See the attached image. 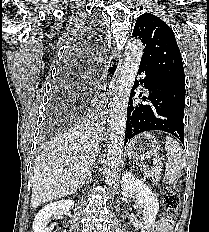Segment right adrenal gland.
Instances as JSON below:
<instances>
[{"label":"right adrenal gland","mask_w":209,"mask_h":232,"mask_svg":"<svg viewBox=\"0 0 209 232\" xmlns=\"http://www.w3.org/2000/svg\"><path fill=\"white\" fill-rule=\"evenodd\" d=\"M90 177H91V173L89 172L87 174V177L84 179L83 184L85 183V181H89Z\"/></svg>","instance_id":"1"}]
</instances>
